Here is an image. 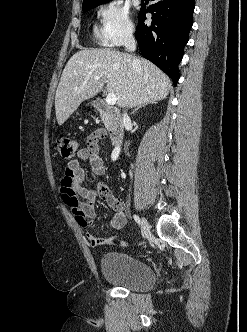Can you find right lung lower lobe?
I'll return each instance as SVG.
<instances>
[{
    "label": "right lung lower lobe",
    "mask_w": 247,
    "mask_h": 332,
    "mask_svg": "<svg viewBox=\"0 0 247 332\" xmlns=\"http://www.w3.org/2000/svg\"><path fill=\"white\" fill-rule=\"evenodd\" d=\"M194 0H156L150 8L140 9L135 37L146 59L157 65L176 85L178 64L193 25ZM152 13V23L146 24V13Z\"/></svg>",
    "instance_id": "1"
}]
</instances>
